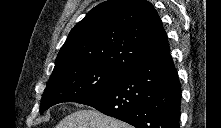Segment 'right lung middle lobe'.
Here are the masks:
<instances>
[{"label":"right lung middle lobe","mask_w":221,"mask_h":128,"mask_svg":"<svg viewBox=\"0 0 221 128\" xmlns=\"http://www.w3.org/2000/svg\"><path fill=\"white\" fill-rule=\"evenodd\" d=\"M126 71L97 65L59 69L52 73L42 95L40 113L61 102H78L115 83Z\"/></svg>","instance_id":"1"}]
</instances>
